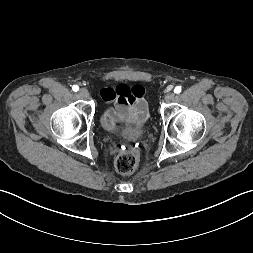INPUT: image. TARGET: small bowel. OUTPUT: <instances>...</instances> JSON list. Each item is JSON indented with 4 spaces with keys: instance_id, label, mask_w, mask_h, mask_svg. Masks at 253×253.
<instances>
[{
    "instance_id": "c3829d8e",
    "label": "small bowel",
    "mask_w": 253,
    "mask_h": 253,
    "mask_svg": "<svg viewBox=\"0 0 253 253\" xmlns=\"http://www.w3.org/2000/svg\"><path fill=\"white\" fill-rule=\"evenodd\" d=\"M145 89L141 85L129 87L118 85L115 88H103L100 97L107 102H114L115 108L108 109L103 114V123L107 129H112L115 123L126 122L130 125H141L147 118V102Z\"/></svg>"
}]
</instances>
